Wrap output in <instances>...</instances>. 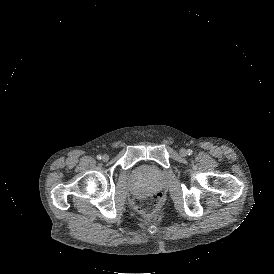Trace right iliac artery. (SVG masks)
I'll use <instances>...</instances> for the list:
<instances>
[{
	"label": "right iliac artery",
	"mask_w": 274,
	"mask_h": 274,
	"mask_svg": "<svg viewBox=\"0 0 274 274\" xmlns=\"http://www.w3.org/2000/svg\"><path fill=\"white\" fill-rule=\"evenodd\" d=\"M101 158H102L101 155H97L98 160H101Z\"/></svg>",
	"instance_id": "82829eb1"
}]
</instances>
